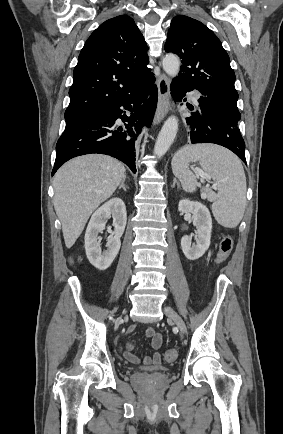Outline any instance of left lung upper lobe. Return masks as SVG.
<instances>
[{"label":"left lung upper lobe","mask_w":283,"mask_h":434,"mask_svg":"<svg viewBox=\"0 0 283 434\" xmlns=\"http://www.w3.org/2000/svg\"><path fill=\"white\" fill-rule=\"evenodd\" d=\"M165 51L182 59L176 81L197 90L200 95L237 108L238 93L229 56L207 26L187 16L174 17Z\"/></svg>","instance_id":"obj_1"}]
</instances>
